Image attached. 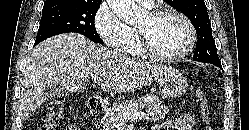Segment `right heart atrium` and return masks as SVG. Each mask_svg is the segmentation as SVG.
I'll list each match as a JSON object with an SVG mask.
<instances>
[{
    "instance_id": "right-heart-atrium-1",
    "label": "right heart atrium",
    "mask_w": 249,
    "mask_h": 130,
    "mask_svg": "<svg viewBox=\"0 0 249 130\" xmlns=\"http://www.w3.org/2000/svg\"><path fill=\"white\" fill-rule=\"evenodd\" d=\"M94 29L110 48L123 50L128 36V26L114 13L107 2H102L93 17Z\"/></svg>"
}]
</instances>
